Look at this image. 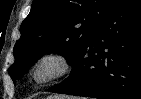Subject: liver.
Wrapping results in <instances>:
<instances>
[{
	"mask_svg": "<svg viewBox=\"0 0 141 99\" xmlns=\"http://www.w3.org/2000/svg\"><path fill=\"white\" fill-rule=\"evenodd\" d=\"M49 99H63V96H51Z\"/></svg>",
	"mask_w": 141,
	"mask_h": 99,
	"instance_id": "6515ba94",
	"label": "liver"
}]
</instances>
